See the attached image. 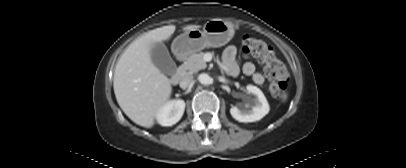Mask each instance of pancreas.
<instances>
[{
	"label": "pancreas",
	"mask_w": 406,
	"mask_h": 168,
	"mask_svg": "<svg viewBox=\"0 0 406 168\" xmlns=\"http://www.w3.org/2000/svg\"><path fill=\"white\" fill-rule=\"evenodd\" d=\"M207 64L204 60V53L200 52L198 54H192L187 58L180 67L179 71L181 74L185 73H196L201 69H205Z\"/></svg>",
	"instance_id": "obj_1"
}]
</instances>
